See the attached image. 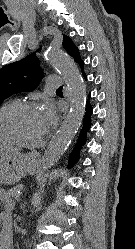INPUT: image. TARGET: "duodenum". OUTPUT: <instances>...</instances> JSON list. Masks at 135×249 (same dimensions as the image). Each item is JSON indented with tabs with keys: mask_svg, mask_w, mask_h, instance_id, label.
<instances>
[{
	"mask_svg": "<svg viewBox=\"0 0 135 249\" xmlns=\"http://www.w3.org/2000/svg\"><path fill=\"white\" fill-rule=\"evenodd\" d=\"M13 237L11 234H7L2 239V244H0V249H12Z\"/></svg>",
	"mask_w": 135,
	"mask_h": 249,
	"instance_id": "410a0bca",
	"label": "duodenum"
}]
</instances>
